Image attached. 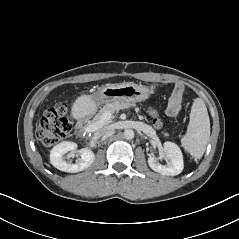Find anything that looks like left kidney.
I'll list each match as a JSON object with an SVG mask.
<instances>
[{
    "mask_svg": "<svg viewBox=\"0 0 239 239\" xmlns=\"http://www.w3.org/2000/svg\"><path fill=\"white\" fill-rule=\"evenodd\" d=\"M164 150L169 162L161 165L155 156H149L148 164L150 168L162 175L175 176L180 174L184 168L183 155L180 148L173 142H165Z\"/></svg>",
    "mask_w": 239,
    "mask_h": 239,
    "instance_id": "obj_1",
    "label": "left kidney"
}]
</instances>
